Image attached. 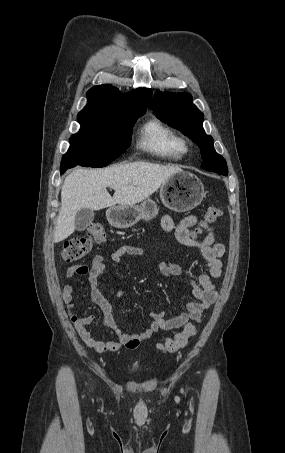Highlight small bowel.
Segmentation results:
<instances>
[{"label":"small bowel","mask_w":285,"mask_h":453,"mask_svg":"<svg viewBox=\"0 0 285 453\" xmlns=\"http://www.w3.org/2000/svg\"><path fill=\"white\" fill-rule=\"evenodd\" d=\"M197 221V217L194 215L184 217L179 222H176L171 216L165 215L161 221L163 230L174 232L180 244L190 248L193 253L199 254L205 260L206 270L199 272L196 279L191 280L192 293L197 301L187 303L186 312H182L178 316L170 319L166 318L165 311L152 310L149 313L151 319L150 325L138 334L126 333L115 323L113 318L114 301L121 299L124 292L122 290L117 291L111 299H108L102 293L100 289L101 275L105 268L103 255H96L90 265H75L66 270V278H72L77 275H88L91 296L103 312L107 326L117 336L116 340L107 341L93 336L87 326L93 322L94 317H83L76 313L75 305L72 303L75 287L73 284H67L61 292L62 300L68 305V314L71 321L79 336L88 347L99 353L117 352L123 348L133 350L141 342L151 338L159 330L180 328L191 320L200 319L202 313L214 304L217 298V291L213 279L221 276V257L224 254V246L216 242L214 229L210 226L207 228L205 238L197 240L190 232V228L195 226ZM145 252L143 248L125 245L117 248L111 254V259L114 262H119L125 255H143ZM160 271L165 277H181L184 274L183 268L172 261L162 262L160 264Z\"/></svg>","instance_id":"1"}]
</instances>
